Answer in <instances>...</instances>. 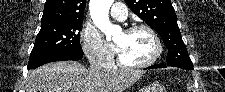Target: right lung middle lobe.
<instances>
[{"instance_id":"dd1d6c3e","label":"right lung middle lobe","mask_w":225,"mask_h":92,"mask_svg":"<svg viewBox=\"0 0 225 92\" xmlns=\"http://www.w3.org/2000/svg\"><path fill=\"white\" fill-rule=\"evenodd\" d=\"M83 22L41 24L30 59L67 50H82L80 30Z\"/></svg>"}]
</instances>
